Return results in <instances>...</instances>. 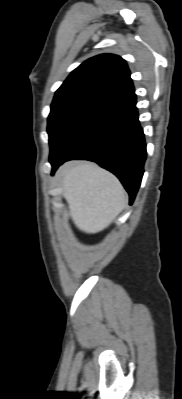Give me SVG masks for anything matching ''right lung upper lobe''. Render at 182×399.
Masks as SVG:
<instances>
[{"label":"right lung upper lobe","mask_w":182,"mask_h":399,"mask_svg":"<svg viewBox=\"0 0 182 399\" xmlns=\"http://www.w3.org/2000/svg\"><path fill=\"white\" fill-rule=\"evenodd\" d=\"M134 91L125 60L113 54L92 57L77 67L55 97L86 95L105 102Z\"/></svg>","instance_id":"right-lung-upper-lobe-1"}]
</instances>
